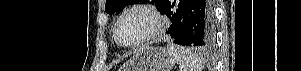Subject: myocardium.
Segmentation results:
<instances>
[{
	"mask_svg": "<svg viewBox=\"0 0 301 71\" xmlns=\"http://www.w3.org/2000/svg\"><path fill=\"white\" fill-rule=\"evenodd\" d=\"M137 11L147 14L152 20V26L150 27L149 31L138 41L131 44L123 43L118 37L119 25L125 16ZM163 28H164L163 17L154 7L147 4H135L123 10L121 14L117 17L115 24L113 26V38L119 46L127 49H133V48L140 47L153 40L156 36H158L162 32Z\"/></svg>",
	"mask_w": 301,
	"mask_h": 71,
	"instance_id": "1",
	"label": "myocardium"
}]
</instances>
